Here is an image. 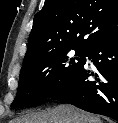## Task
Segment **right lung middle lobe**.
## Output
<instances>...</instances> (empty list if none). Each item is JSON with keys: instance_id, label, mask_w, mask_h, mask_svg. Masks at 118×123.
I'll use <instances>...</instances> for the list:
<instances>
[{"instance_id": "obj_1", "label": "right lung middle lobe", "mask_w": 118, "mask_h": 123, "mask_svg": "<svg viewBox=\"0 0 118 123\" xmlns=\"http://www.w3.org/2000/svg\"><path fill=\"white\" fill-rule=\"evenodd\" d=\"M75 50V57L71 51ZM86 51L61 48L23 64L12 108L39 103L65 85L85 62Z\"/></svg>"}]
</instances>
